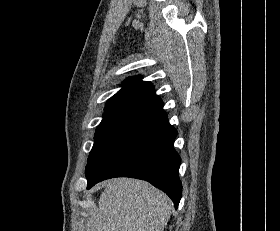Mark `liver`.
I'll return each mask as SVG.
<instances>
[{
  "instance_id": "obj_1",
  "label": "liver",
  "mask_w": 280,
  "mask_h": 231,
  "mask_svg": "<svg viewBox=\"0 0 280 231\" xmlns=\"http://www.w3.org/2000/svg\"><path fill=\"white\" fill-rule=\"evenodd\" d=\"M99 185L104 191L86 231H163L172 209L163 191L130 177L108 179Z\"/></svg>"
}]
</instances>
